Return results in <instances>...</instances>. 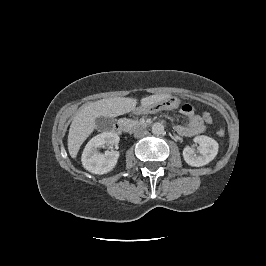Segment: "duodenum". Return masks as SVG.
<instances>
[{"instance_id": "1", "label": "duodenum", "mask_w": 266, "mask_h": 266, "mask_svg": "<svg viewBox=\"0 0 266 266\" xmlns=\"http://www.w3.org/2000/svg\"><path fill=\"white\" fill-rule=\"evenodd\" d=\"M114 128H115L116 132L123 133L126 130L125 122L123 120H118L115 123V127Z\"/></svg>"}]
</instances>
